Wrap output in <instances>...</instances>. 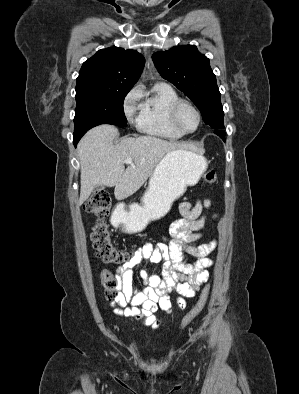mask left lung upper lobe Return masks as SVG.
I'll return each instance as SVG.
<instances>
[{
  "mask_svg": "<svg viewBox=\"0 0 299 394\" xmlns=\"http://www.w3.org/2000/svg\"><path fill=\"white\" fill-rule=\"evenodd\" d=\"M153 62L160 75L183 91L200 110L203 120L214 129L224 128L221 94L209 59L194 45L156 52Z\"/></svg>",
  "mask_w": 299,
  "mask_h": 394,
  "instance_id": "obj_1",
  "label": "left lung upper lobe"
}]
</instances>
